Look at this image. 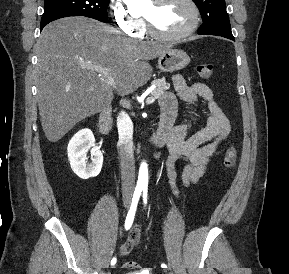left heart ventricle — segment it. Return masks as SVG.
<instances>
[{"label": "left heart ventricle", "mask_w": 289, "mask_h": 274, "mask_svg": "<svg viewBox=\"0 0 289 274\" xmlns=\"http://www.w3.org/2000/svg\"><path fill=\"white\" fill-rule=\"evenodd\" d=\"M148 17L158 31L177 34L185 30L192 21V11L184 0H169L160 5L151 2L145 9Z\"/></svg>", "instance_id": "left-heart-ventricle-1"}]
</instances>
